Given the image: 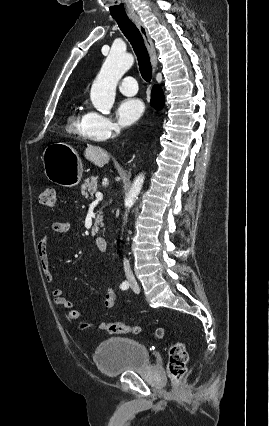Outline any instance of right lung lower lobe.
<instances>
[{
  "mask_svg": "<svg viewBox=\"0 0 269 426\" xmlns=\"http://www.w3.org/2000/svg\"><path fill=\"white\" fill-rule=\"evenodd\" d=\"M151 105L156 109H161L164 105V95L159 86H154L151 94Z\"/></svg>",
  "mask_w": 269,
  "mask_h": 426,
  "instance_id": "right-lung-lower-lobe-1",
  "label": "right lung lower lobe"
}]
</instances>
